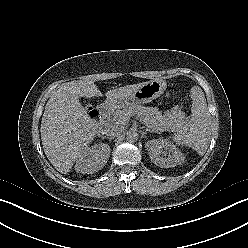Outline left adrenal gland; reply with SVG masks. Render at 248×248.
Returning a JSON list of instances; mask_svg holds the SVG:
<instances>
[{
	"label": "left adrenal gland",
	"instance_id": "obj_1",
	"mask_svg": "<svg viewBox=\"0 0 248 248\" xmlns=\"http://www.w3.org/2000/svg\"><path fill=\"white\" fill-rule=\"evenodd\" d=\"M148 131H150L149 129H145V132H148ZM150 132H153V131H150Z\"/></svg>",
	"mask_w": 248,
	"mask_h": 248
}]
</instances>
